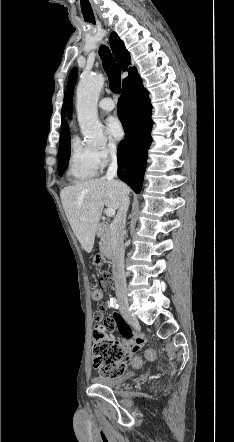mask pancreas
Wrapping results in <instances>:
<instances>
[{
    "label": "pancreas",
    "mask_w": 234,
    "mask_h": 442,
    "mask_svg": "<svg viewBox=\"0 0 234 442\" xmlns=\"http://www.w3.org/2000/svg\"><path fill=\"white\" fill-rule=\"evenodd\" d=\"M100 249L103 253L109 254L111 250L110 246V233L108 229V225L103 226V232L101 235V241L99 243Z\"/></svg>",
    "instance_id": "pancreas-1"
}]
</instances>
